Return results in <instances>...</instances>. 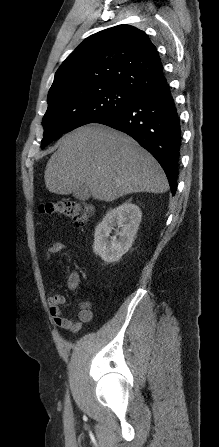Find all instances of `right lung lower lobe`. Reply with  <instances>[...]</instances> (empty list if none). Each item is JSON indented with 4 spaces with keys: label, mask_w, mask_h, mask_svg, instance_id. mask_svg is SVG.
<instances>
[{
    "label": "right lung lower lobe",
    "mask_w": 219,
    "mask_h": 447,
    "mask_svg": "<svg viewBox=\"0 0 219 447\" xmlns=\"http://www.w3.org/2000/svg\"><path fill=\"white\" fill-rule=\"evenodd\" d=\"M94 123L122 131L148 150L164 169L175 194L182 137L179 114L167 82Z\"/></svg>",
    "instance_id": "obj_1"
}]
</instances>
